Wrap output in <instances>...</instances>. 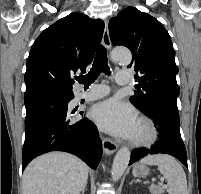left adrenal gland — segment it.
Returning a JSON list of instances; mask_svg holds the SVG:
<instances>
[{
  "label": "left adrenal gland",
  "mask_w": 201,
  "mask_h": 194,
  "mask_svg": "<svg viewBox=\"0 0 201 194\" xmlns=\"http://www.w3.org/2000/svg\"><path fill=\"white\" fill-rule=\"evenodd\" d=\"M133 182H134V181L130 182V185H132Z\"/></svg>",
  "instance_id": "a2214340"
}]
</instances>
